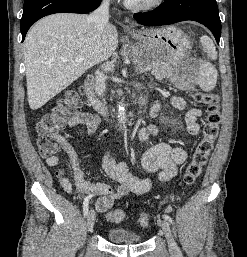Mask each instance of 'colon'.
Masks as SVG:
<instances>
[{"instance_id": "obj_1", "label": "colon", "mask_w": 247, "mask_h": 257, "mask_svg": "<svg viewBox=\"0 0 247 257\" xmlns=\"http://www.w3.org/2000/svg\"><path fill=\"white\" fill-rule=\"evenodd\" d=\"M197 103L206 106V120L203 125L202 137L188 163L183 182L186 186H191L200 176L204 165L213 149L214 142L218 135L221 112L219 96L217 94H206L197 92L194 94ZM82 105V92L80 89H71L61 96L54 106L44 113L37 123L38 133L37 144L41 156L48 158L56 155L61 149L59 142V131L63 128L66 120ZM126 217L123 210L116 209L107 214L110 222L119 223ZM137 222L141 227H147L150 216L147 213H140Z\"/></svg>"}]
</instances>
